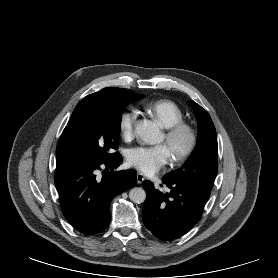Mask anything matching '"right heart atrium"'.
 Here are the masks:
<instances>
[{"instance_id":"obj_1","label":"right heart atrium","mask_w":278,"mask_h":278,"mask_svg":"<svg viewBox=\"0 0 278 278\" xmlns=\"http://www.w3.org/2000/svg\"><path fill=\"white\" fill-rule=\"evenodd\" d=\"M136 121L137 113L134 110H126L120 115L118 127L122 138L129 140L133 137Z\"/></svg>"}]
</instances>
